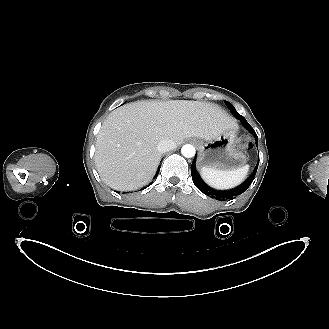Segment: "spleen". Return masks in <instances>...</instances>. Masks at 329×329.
Here are the masks:
<instances>
[{
  "instance_id": "1",
  "label": "spleen",
  "mask_w": 329,
  "mask_h": 329,
  "mask_svg": "<svg viewBox=\"0 0 329 329\" xmlns=\"http://www.w3.org/2000/svg\"><path fill=\"white\" fill-rule=\"evenodd\" d=\"M248 171L249 165L230 171L202 168L201 177L208 185L215 189H230L243 182Z\"/></svg>"
}]
</instances>
